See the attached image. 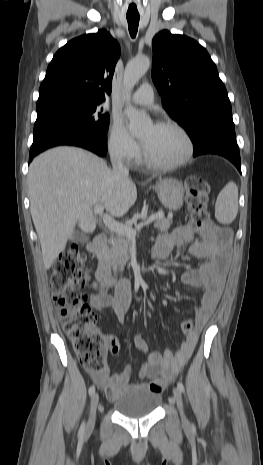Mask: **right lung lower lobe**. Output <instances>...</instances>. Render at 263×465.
<instances>
[{
	"instance_id": "obj_1",
	"label": "right lung lower lobe",
	"mask_w": 263,
	"mask_h": 465,
	"mask_svg": "<svg viewBox=\"0 0 263 465\" xmlns=\"http://www.w3.org/2000/svg\"><path fill=\"white\" fill-rule=\"evenodd\" d=\"M59 145L82 147L99 156H104L107 153V143H102L90 135L74 130H56L34 137L29 161H32L36 155L46 149Z\"/></svg>"
}]
</instances>
